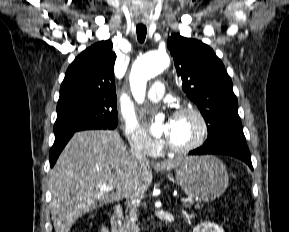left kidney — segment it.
<instances>
[{"label":"left kidney","mask_w":289,"mask_h":232,"mask_svg":"<svg viewBox=\"0 0 289 232\" xmlns=\"http://www.w3.org/2000/svg\"><path fill=\"white\" fill-rule=\"evenodd\" d=\"M193 232H224L223 228L211 223V222H204L200 225L196 226L193 229Z\"/></svg>","instance_id":"5707ae66"}]
</instances>
